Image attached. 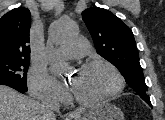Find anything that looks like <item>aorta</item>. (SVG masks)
<instances>
[{
    "label": "aorta",
    "instance_id": "aorta-1",
    "mask_svg": "<svg viewBox=\"0 0 165 120\" xmlns=\"http://www.w3.org/2000/svg\"><path fill=\"white\" fill-rule=\"evenodd\" d=\"M77 32V25L74 21H60L55 23L51 28V41L53 43H62L67 38L75 35ZM55 67L60 69L63 65L59 62L55 64Z\"/></svg>",
    "mask_w": 165,
    "mask_h": 120
}]
</instances>
